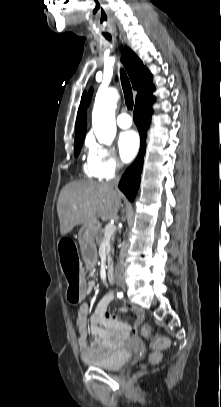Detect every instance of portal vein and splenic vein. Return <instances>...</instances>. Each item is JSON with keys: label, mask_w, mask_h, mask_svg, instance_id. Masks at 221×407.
I'll use <instances>...</instances> for the list:
<instances>
[{"label": "portal vein and splenic vein", "mask_w": 221, "mask_h": 407, "mask_svg": "<svg viewBox=\"0 0 221 407\" xmlns=\"http://www.w3.org/2000/svg\"><path fill=\"white\" fill-rule=\"evenodd\" d=\"M115 228L116 227L114 224H112V223L107 224L105 227V231H104L105 236L111 235L115 231Z\"/></svg>", "instance_id": "18ae733b"}]
</instances>
